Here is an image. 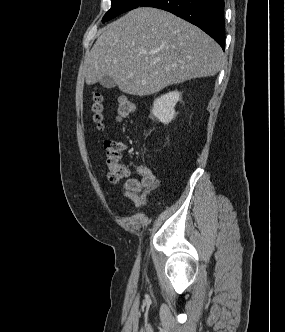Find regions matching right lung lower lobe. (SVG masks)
Wrapping results in <instances>:
<instances>
[{"instance_id": "1", "label": "right lung lower lobe", "mask_w": 285, "mask_h": 332, "mask_svg": "<svg viewBox=\"0 0 285 332\" xmlns=\"http://www.w3.org/2000/svg\"><path fill=\"white\" fill-rule=\"evenodd\" d=\"M140 6L169 11L198 26L225 48L224 0H146Z\"/></svg>"}]
</instances>
